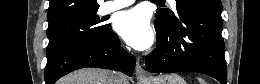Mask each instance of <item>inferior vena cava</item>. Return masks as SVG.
Segmentation results:
<instances>
[{"label": "inferior vena cava", "mask_w": 260, "mask_h": 84, "mask_svg": "<svg viewBox=\"0 0 260 84\" xmlns=\"http://www.w3.org/2000/svg\"><path fill=\"white\" fill-rule=\"evenodd\" d=\"M115 84H128V79L123 73H117L115 77Z\"/></svg>", "instance_id": "obj_1"}]
</instances>
